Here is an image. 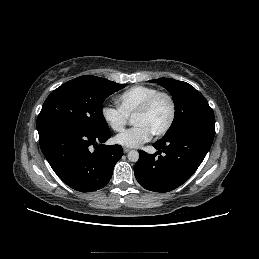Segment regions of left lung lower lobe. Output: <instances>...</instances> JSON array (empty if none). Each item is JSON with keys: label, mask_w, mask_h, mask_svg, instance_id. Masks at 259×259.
I'll return each instance as SVG.
<instances>
[{"label": "left lung lower lobe", "mask_w": 259, "mask_h": 259, "mask_svg": "<svg viewBox=\"0 0 259 259\" xmlns=\"http://www.w3.org/2000/svg\"><path fill=\"white\" fill-rule=\"evenodd\" d=\"M214 134L187 129L163 137L153 146L155 154L139 151L134 174L139 184L154 192H168L186 182L202 163ZM159 155V156H157Z\"/></svg>", "instance_id": "1"}]
</instances>
